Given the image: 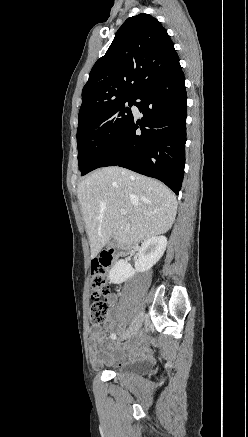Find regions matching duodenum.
Listing matches in <instances>:
<instances>
[{
  "instance_id": "1",
  "label": "duodenum",
  "mask_w": 248,
  "mask_h": 437,
  "mask_svg": "<svg viewBox=\"0 0 248 437\" xmlns=\"http://www.w3.org/2000/svg\"><path fill=\"white\" fill-rule=\"evenodd\" d=\"M100 255L102 257H105L108 260V262L110 264H112V262H114L116 260L117 256H118V251L115 250V249H109L108 250L107 248H102L100 250Z\"/></svg>"
}]
</instances>
